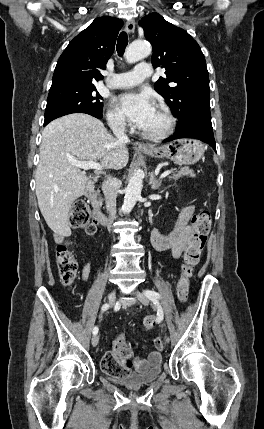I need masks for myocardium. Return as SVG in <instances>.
Here are the masks:
<instances>
[{"label":"myocardium","instance_id":"obj_1","mask_svg":"<svg viewBox=\"0 0 264 429\" xmlns=\"http://www.w3.org/2000/svg\"><path fill=\"white\" fill-rule=\"evenodd\" d=\"M156 109L160 111L166 119V125L164 129L158 133H147L140 130V135L143 138L151 141H158L168 137L173 132L175 127V117L166 105L158 104Z\"/></svg>","mask_w":264,"mask_h":429}]
</instances>
